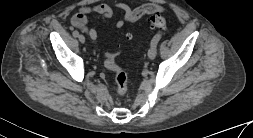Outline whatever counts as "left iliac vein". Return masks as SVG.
<instances>
[{
	"instance_id": "left-iliac-vein-1",
	"label": "left iliac vein",
	"mask_w": 253,
	"mask_h": 138,
	"mask_svg": "<svg viewBox=\"0 0 253 138\" xmlns=\"http://www.w3.org/2000/svg\"><path fill=\"white\" fill-rule=\"evenodd\" d=\"M157 55L156 45H152L148 50L149 59H154Z\"/></svg>"
}]
</instances>
